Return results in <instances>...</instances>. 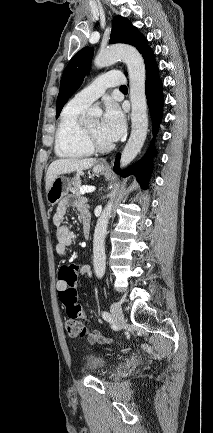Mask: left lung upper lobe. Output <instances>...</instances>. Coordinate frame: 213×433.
Segmentation results:
<instances>
[{
  "label": "left lung upper lobe",
  "mask_w": 213,
  "mask_h": 433,
  "mask_svg": "<svg viewBox=\"0 0 213 433\" xmlns=\"http://www.w3.org/2000/svg\"><path fill=\"white\" fill-rule=\"evenodd\" d=\"M110 43H125L137 48L144 56L151 48L147 45V40L134 27L131 22L121 16L114 17L112 22V31L110 35ZM93 47H85L76 53L65 68L61 82L60 91L57 97L56 118L73 93L81 85L85 74L91 67L93 58Z\"/></svg>",
  "instance_id": "left-lung-upper-lobe-1"
}]
</instances>
